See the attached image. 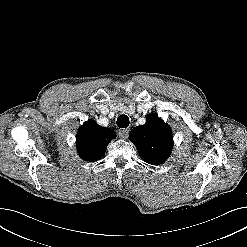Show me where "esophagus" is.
<instances>
[{"label":"esophagus","mask_w":247,"mask_h":247,"mask_svg":"<svg viewBox=\"0 0 247 247\" xmlns=\"http://www.w3.org/2000/svg\"><path fill=\"white\" fill-rule=\"evenodd\" d=\"M128 134H129V130L128 129H120L118 131V136L121 139H126L128 137Z\"/></svg>","instance_id":"1"}]
</instances>
